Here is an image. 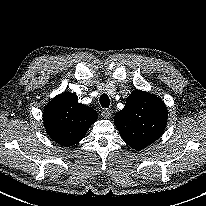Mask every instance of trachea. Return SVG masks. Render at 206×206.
Instances as JSON below:
<instances>
[{
	"label": "trachea",
	"mask_w": 206,
	"mask_h": 206,
	"mask_svg": "<svg viewBox=\"0 0 206 206\" xmlns=\"http://www.w3.org/2000/svg\"><path fill=\"white\" fill-rule=\"evenodd\" d=\"M99 101L103 108H108L110 105V100L107 94H102Z\"/></svg>",
	"instance_id": "obj_1"
}]
</instances>
